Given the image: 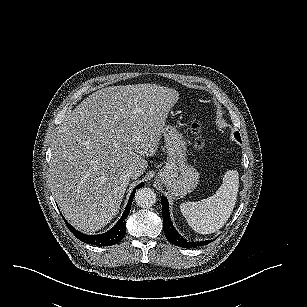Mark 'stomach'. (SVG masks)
<instances>
[{"label": "stomach", "mask_w": 307, "mask_h": 307, "mask_svg": "<svg viewBox=\"0 0 307 307\" xmlns=\"http://www.w3.org/2000/svg\"><path fill=\"white\" fill-rule=\"evenodd\" d=\"M167 159L155 181L163 184L175 198L191 193L199 183V172L188 163L187 140L175 126L165 125L162 131Z\"/></svg>", "instance_id": "0dacf381"}]
</instances>
